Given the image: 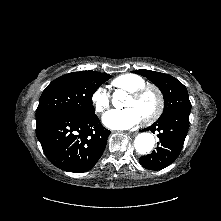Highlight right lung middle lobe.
<instances>
[{"mask_svg": "<svg viewBox=\"0 0 221 221\" xmlns=\"http://www.w3.org/2000/svg\"><path fill=\"white\" fill-rule=\"evenodd\" d=\"M110 75L93 71L73 72L52 81L43 91L36 123L59 115L93 116L92 96Z\"/></svg>", "mask_w": 221, "mask_h": 221, "instance_id": "right-lung-middle-lobe-1", "label": "right lung middle lobe"}]
</instances>
